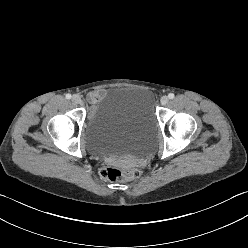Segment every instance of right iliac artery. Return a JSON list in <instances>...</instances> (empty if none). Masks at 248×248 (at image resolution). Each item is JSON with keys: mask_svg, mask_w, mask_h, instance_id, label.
<instances>
[{"mask_svg": "<svg viewBox=\"0 0 248 248\" xmlns=\"http://www.w3.org/2000/svg\"><path fill=\"white\" fill-rule=\"evenodd\" d=\"M65 97H66L67 99H70V98H71V94L68 93V94L65 95Z\"/></svg>", "mask_w": 248, "mask_h": 248, "instance_id": "obj_1", "label": "right iliac artery"}]
</instances>
